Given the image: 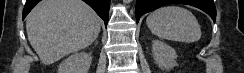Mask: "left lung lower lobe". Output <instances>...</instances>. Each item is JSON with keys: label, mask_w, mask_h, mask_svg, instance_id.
Returning <instances> with one entry per match:
<instances>
[{"label": "left lung lower lobe", "mask_w": 244, "mask_h": 73, "mask_svg": "<svg viewBox=\"0 0 244 73\" xmlns=\"http://www.w3.org/2000/svg\"><path fill=\"white\" fill-rule=\"evenodd\" d=\"M187 4L197 7L208 15L215 21L216 19V8L213 0H137L136 3V21L138 23L140 17L148 12H151L161 6L167 4Z\"/></svg>", "instance_id": "obj_1"}]
</instances>
